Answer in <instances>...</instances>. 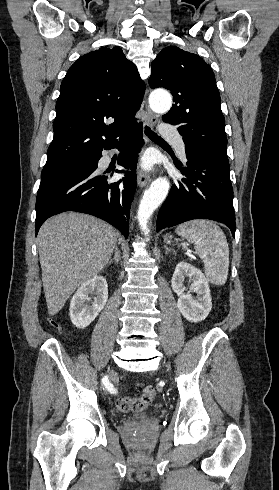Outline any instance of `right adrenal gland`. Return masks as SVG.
<instances>
[{"label": "right adrenal gland", "instance_id": "2a0ac1e0", "mask_svg": "<svg viewBox=\"0 0 279 490\" xmlns=\"http://www.w3.org/2000/svg\"><path fill=\"white\" fill-rule=\"evenodd\" d=\"M114 252H115V256L114 258H111V260H109L108 264H112V262H116V264H118V262H120L121 260L119 248H117V246H115Z\"/></svg>", "mask_w": 279, "mask_h": 490}]
</instances>
